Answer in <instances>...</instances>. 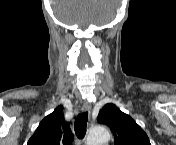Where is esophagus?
I'll list each match as a JSON object with an SVG mask.
<instances>
[{"label":"esophagus","instance_id":"obj_1","mask_svg":"<svg viewBox=\"0 0 176 145\" xmlns=\"http://www.w3.org/2000/svg\"><path fill=\"white\" fill-rule=\"evenodd\" d=\"M82 111L83 112H91V104L89 102H84L83 106H82Z\"/></svg>","mask_w":176,"mask_h":145}]
</instances>
